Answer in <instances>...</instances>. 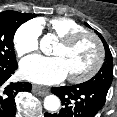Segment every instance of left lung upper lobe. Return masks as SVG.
<instances>
[{"mask_svg": "<svg viewBox=\"0 0 117 117\" xmlns=\"http://www.w3.org/2000/svg\"><path fill=\"white\" fill-rule=\"evenodd\" d=\"M100 39L103 42L105 48V62L99 72L89 81L84 82L92 87L99 88L105 92H108V89L111 85L113 78V63H112V54L110 49L100 33L95 31Z\"/></svg>", "mask_w": 117, "mask_h": 117, "instance_id": "obj_1", "label": "left lung upper lobe"}]
</instances>
